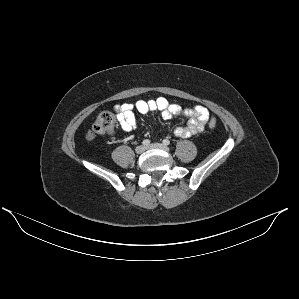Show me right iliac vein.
Returning <instances> with one entry per match:
<instances>
[{"instance_id": "63e3f726", "label": "right iliac vein", "mask_w": 299, "mask_h": 299, "mask_svg": "<svg viewBox=\"0 0 299 299\" xmlns=\"http://www.w3.org/2000/svg\"><path fill=\"white\" fill-rule=\"evenodd\" d=\"M145 151V147L143 145H139L136 147L135 152L137 154H142Z\"/></svg>"}]
</instances>
